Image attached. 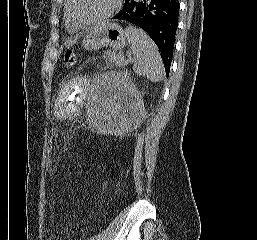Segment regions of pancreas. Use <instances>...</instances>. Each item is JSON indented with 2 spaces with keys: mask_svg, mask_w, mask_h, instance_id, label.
Listing matches in <instances>:
<instances>
[{
  "mask_svg": "<svg viewBox=\"0 0 257 240\" xmlns=\"http://www.w3.org/2000/svg\"><path fill=\"white\" fill-rule=\"evenodd\" d=\"M120 56L123 55L120 53L117 54L115 51H106L103 57L107 58L111 65L121 66L122 61L119 59Z\"/></svg>",
  "mask_w": 257,
  "mask_h": 240,
  "instance_id": "pancreas-1",
  "label": "pancreas"
}]
</instances>
